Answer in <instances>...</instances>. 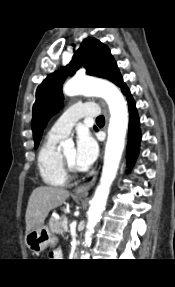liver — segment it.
Segmentation results:
<instances>
[{
	"label": "liver",
	"mask_w": 175,
	"mask_h": 287,
	"mask_svg": "<svg viewBox=\"0 0 175 287\" xmlns=\"http://www.w3.org/2000/svg\"><path fill=\"white\" fill-rule=\"evenodd\" d=\"M70 195L68 190L58 187L40 186L31 193L26 209V233L43 224L49 212L60 206Z\"/></svg>",
	"instance_id": "6515ba94"
}]
</instances>
